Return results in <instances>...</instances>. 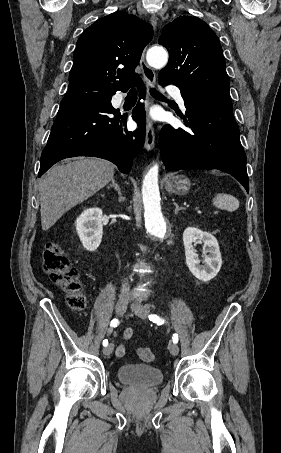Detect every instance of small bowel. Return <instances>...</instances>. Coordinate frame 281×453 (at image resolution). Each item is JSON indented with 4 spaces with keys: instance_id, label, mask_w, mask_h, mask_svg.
Segmentation results:
<instances>
[{
    "instance_id": "obj_1",
    "label": "small bowel",
    "mask_w": 281,
    "mask_h": 453,
    "mask_svg": "<svg viewBox=\"0 0 281 453\" xmlns=\"http://www.w3.org/2000/svg\"><path fill=\"white\" fill-rule=\"evenodd\" d=\"M133 335L132 329H126L123 334V339H129ZM116 354H122L125 352V346L123 344H120L116 347L115 349Z\"/></svg>"
}]
</instances>
